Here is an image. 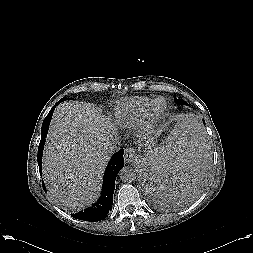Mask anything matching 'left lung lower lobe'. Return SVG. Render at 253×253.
<instances>
[{"instance_id": "left-lung-lower-lobe-1", "label": "left lung lower lobe", "mask_w": 253, "mask_h": 253, "mask_svg": "<svg viewBox=\"0 0 253 253\" xmlns=\"http://www.w3.org/2000/svg\"><path fill=\"white\" fill-rule=\"evenodd\" d=\"M204 162L202 154L195 152L172 160L155 158L143 178L152 200L159 205H167L189 199L202 177Z\"/></svg>"}]
</instances>
